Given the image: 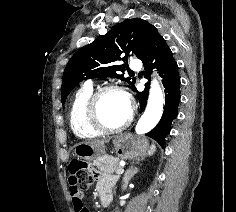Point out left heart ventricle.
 Instances as JSON below:
<instances>
[{"label": "left heart ventricle", "instance_id": "1", "mask_svg": "<svg viewBox=\"0 0 236 212\" xmlns=\"http://www.w3.org/2000/svg\"><path fill=\"white\" fill-rule=\"evenodd\" d=\"M128 111V102L119 92H108L100 100V119L109 128L120 126L126 120Z\"/></svg>", "mask_w": 236, "mask_h": 212}]
</instances>
